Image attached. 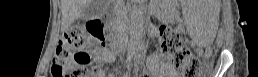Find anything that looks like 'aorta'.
Segmentation results:
<instances>
[{
	"mask_svg": "<svg viewBox=\"0 0 258 77\" xmlns=\"http://www.w3.org/2000/svg\"><path fill=\"white\" fill-rule=\"evenodd\" d=\"M131 15L133 18H139L140 17V13L137 9H133L131 12Z\"/></svg>",
	"mask_w": 258,
	"mask_h": 77,
	"instance_id": "1",
	"label": "aorta"
}]
</instances>
